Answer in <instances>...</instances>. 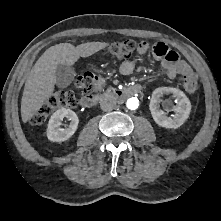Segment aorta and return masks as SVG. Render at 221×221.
<instances>
[{"label":"aorta","instance_id":"1","mask_svg":"<svg viewBox=\"0 0 221 221\" xmlns=\"http://www.w3.org/2000/svg\"><path fill=\"white\" fill-rule=\"evenodd\" d=\"M126 106L130 110H135L139 106V101L136 97L129 98L126 102Z\"/></svg>","mask_w":221,"mask_h":221}]
</instances>
